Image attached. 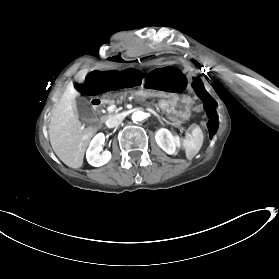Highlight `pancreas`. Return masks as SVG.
Returning <instances> with one entry per match:
<instances>
[{
  "label": "pancreas",
  "instance_id": "obj_1",
  "mask_svg": "<svg viewBox=\"0 0 279 279\" xmlns=\"http://www.w3.org/2000/svg\"><path fill=\"white\" fill-rule=\"evenodd\" d=\"M125 98H126V94L122 95V96L120 97V99L117 100V103L120 104L123 100H125ZM114 103H115V100H109V102H108L109 105H112V104H114Z\"/></svg>",
  "mask_w": 279,
  "mask_h": 279
}]
</instances>
